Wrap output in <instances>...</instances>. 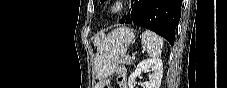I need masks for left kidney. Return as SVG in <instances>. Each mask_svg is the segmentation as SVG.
Listing matches in <instances>:
<instances>
[{
    "instance_id": "5707ae66",
    "label": "left kidney",
    "mask_w": 227,
    "mask_h": 88,
    "mask_svg": "<svg viewBox=\"0 0 227 88\" xmlns=\"http://www.w3.org/2000/svg\"><path fill=\"white\" fill-rule=\"evenodd\" d=\"M144 71H152L149 75V81L145 82L144 88H160L163 74V64L161 59L156 58L143 60L137 65L135 71L129 76V88H134L136 78Z\"/></svg>"
}]
</instances>
